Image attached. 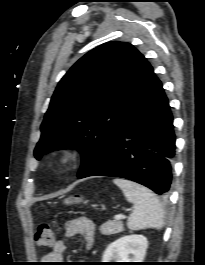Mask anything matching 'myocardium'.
Returning <instances> with one entry per match:
<instances>
[{"label": "myocardium", "mask_w": 205, "mask_h": 265, "mask_svg": "<svg viewBox=\"0 0 205 265\" xmlns=\"http://www.w3.org/2000/svg\"><path fill=\"white\" fill-rule=\"evenodd\" d=\"M79 158V149L74 145H66L56 152L53 164L59 170H67L71 168L79 160Z\"/></svg>", "instance_id": "obj_1"}]
</instances>
